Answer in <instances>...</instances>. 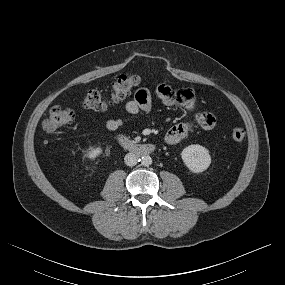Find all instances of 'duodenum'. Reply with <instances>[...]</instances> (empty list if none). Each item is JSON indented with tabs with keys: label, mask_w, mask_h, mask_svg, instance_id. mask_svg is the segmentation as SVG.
<instances>
[{
	"label": "duodenum",
	"mask_w": 285,
	"mask_h": 285,
	"mask_svg": "<svg viewBox=\"0 0 285 285\" xmlns=\"http://www.w3.org/2000/svg\"><path fill=\"white\" fill-rule=\"evenodd\" d=\"M118 142L123 148L141 156L151 154L155 150V146L153 144L136 143L124 135L118 136Z\"/></svg>",
	"instance_id": "1"
}]
</instances>
